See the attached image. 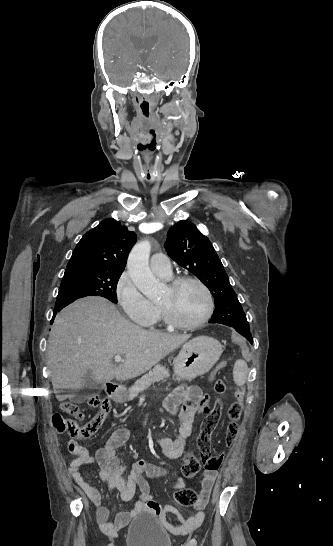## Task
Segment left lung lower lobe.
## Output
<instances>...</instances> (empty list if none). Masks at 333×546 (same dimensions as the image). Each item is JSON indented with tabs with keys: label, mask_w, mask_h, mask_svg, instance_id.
I'll list each match as a JSON object with an SVG mask.
<instances>
[{
	"label": "left lung lower lobe",
	"mask_w": 333,
	"mask_h": 546,
	"mask_svg": "<svg viewBox=\"0 0 333 546\" xmlns=\"http://www.w3.org/2000/svg\"><path fill=\"white\" fill-rule=\"evenodd\" d=\"M209 323H220V324H223L219 321H217L216 319L214 318H211ZM224 325H227V326H230L228 324H224ZM230 327H233L235 328V330L240 333L242 336H244L251 344L253 343V339H252V335L250 333V327H249V324L247 321H241L239 322L238 324H236L235 326H230Z\"/></svg>",
	"instance_id": "obj_1"
}]
</instances>
